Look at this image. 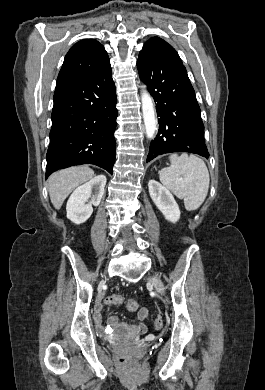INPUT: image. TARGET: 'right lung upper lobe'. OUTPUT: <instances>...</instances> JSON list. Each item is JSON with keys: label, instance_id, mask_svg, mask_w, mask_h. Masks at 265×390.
Instances as JSON below:
<instances>
[{"label": "right lung upper lobe", "instance_id": "1", "mask_svg": "<svg viewBox=\"0 0 265 390\" xmlns=\"http://www.w3.org/2000/svg\"><path fill=\"white\" fill-rule=\"evenodd\" d=\"M109 63L104 47L94 39L77 42L65 56L56 86L83 78Z\"/></svg>", "mask_w": 265, "mask_h": 390}]
</instances>
